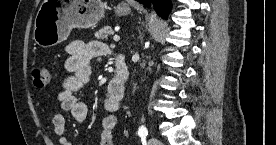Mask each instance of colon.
Masks as SVG:
<instances>
[{
	"instance_id": "1",
	"label": "colon",
	"mask_w": 276,
	"mask_h": 145,
	"mask_svg": "<svg viewBox=\"0 0 276 145\" xmlns=\"http://www.w3.org/2000/svg\"><path fill=\"white\" fill-rule=\"evenodd\" d=\"M33 84L37 88H44L49 85L51 81V74L44 66H35L32 69Z\"/></svg>"
}]
</instances>
